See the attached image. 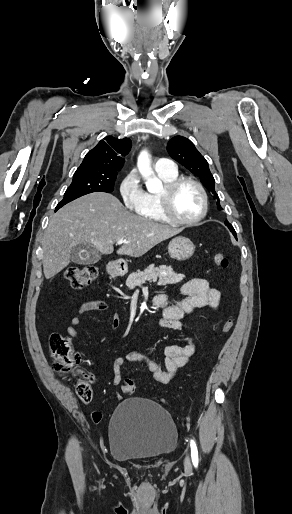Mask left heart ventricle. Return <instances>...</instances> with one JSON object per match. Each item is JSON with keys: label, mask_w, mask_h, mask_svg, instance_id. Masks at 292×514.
Masks as SVG:
<instances>
[{"label": "left heart ventricle", "mask_w": 292, "mask_h": 514, "mask_svg": "<svg viewBox=\"0 0 292 514\" xmlns=\"http://www.w3.org/2000/svg\"><path fill=\"white\" fill-rule=\"evenodd\" d=\"M171 207L174 215L179 219H193L198 215L201 207L199 192L191 185L181 186L171 197Z\"/></svg>", "instance_id": "1"}]
</instances>
